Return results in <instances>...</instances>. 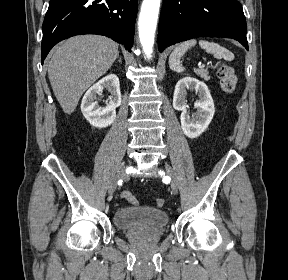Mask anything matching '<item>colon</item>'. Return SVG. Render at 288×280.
Masks as SVG:
<instances>
[{"instance_id": "obj_1", "label": "colon", "mask_w": 288, "mask_h": 280, "mask_svg": "<svg viewBox=\"0 0 288 280\" xmlns=\"http://www.w3.org/2000/svg\"><path fill=\"white\" fill-rule=\"evenodd\" d=\"M216 73L220 80V87L222 91L227 94L233 93L237 84V78L233 67L226 62H219L216 65ZM123 197L132 204H138L137 198L130 192H124ZM164 204V199H156V205L158 207H163Z\"/></svg>"}]
</instances>
